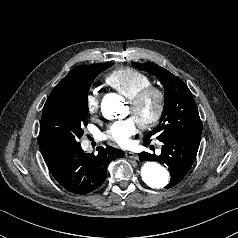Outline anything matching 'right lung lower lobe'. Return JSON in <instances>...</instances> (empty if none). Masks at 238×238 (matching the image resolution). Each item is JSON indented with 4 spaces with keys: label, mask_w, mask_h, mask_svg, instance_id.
<instances>
[{
    "label": "right lung lower lobe",
    "mask_w": 238,
    "mask_h": 238,
    "mask_svg": "<svg viewBox=\"0 0 238 238\" xmlns=\"http://www.w3.org/2000/svg\"><path fill=\"white\" fill-rule=\"evenodd\" d=\"M117 157H124V152L111 146L100 147L98 154L94 155L84 153L80 145L46 162V165L62 187L84 195L103 184L108 164Z\"/></svg>",
    "instance_id": "obj_1"
}]
</instances>
